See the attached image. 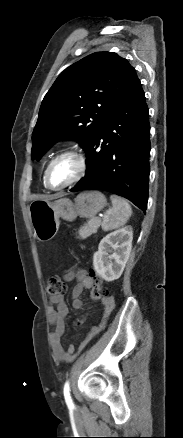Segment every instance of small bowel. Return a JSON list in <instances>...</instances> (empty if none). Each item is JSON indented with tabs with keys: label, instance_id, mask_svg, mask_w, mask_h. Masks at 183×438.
Here are the masks:
<instances>
[{
	"label": "small bowel",
	"instance_id": "obj_1",
	"mask_svg": "<svg viewBox=\"0 0 183 438\" xmlns=\"http://www.w3.org/2000/svg\"><path fill=\"white\" fill-rule=\"evenodd\" d=\"M64 279L66 281H71L76 279V285L72 290V307L74 309H79L83 306L81 300V295L85 289L92 288L93 280L83 269L69 270L65 275ZM103 306V316L101 322L94 326L88 333V338L95 335L103 329L106 320L112 312L115 301L113 296L109 295L101 299ZM51 306L48 309V320L53 326V332L51 333V345L54 356L58 361L70 362L74 358V347L70 345L66 350L61 344V337L65 332V318L69 312L68 305L64 299V296H58L50 299ZM83 321H79L81 324Z\"/></svg>",
	"mask_w": 183,
	"mask_h": 438
}]
</instances>
